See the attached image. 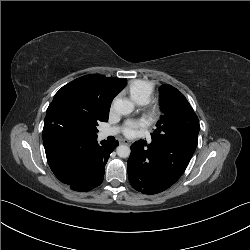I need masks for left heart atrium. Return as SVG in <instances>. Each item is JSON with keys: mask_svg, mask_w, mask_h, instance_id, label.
<instances>
[{"mask_svg": "<svg viewBox=\"0 0 250 250\" xmlns=\"http://www.w3.org/2000/svg\"><path fill=\"white\" fill-rule=\"evenodd\" d=\"M141 122L128 121L124 127V134L128 137H132L136 134L137 130L142 126Z\"/></svg>", "mask_w": 250, "mask_h": 250, "instance_id": "39dd6f15", "label": "left heart atrium"}]
</instances>
